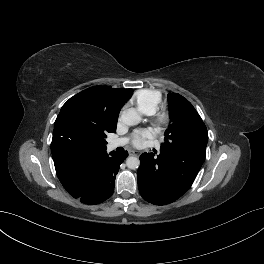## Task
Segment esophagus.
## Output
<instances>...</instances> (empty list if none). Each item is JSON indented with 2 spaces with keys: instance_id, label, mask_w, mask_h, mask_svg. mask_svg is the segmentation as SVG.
I'll use <instances>...</instances> for the list:
<instances>
[{
  "instance_id": "esophagus-1",
  "label": "esophagus",
  "mask_w": 264,
  "mask_h": 264,
  "mask_svg": "<svg viewBox=\"0 0 264 264\" xmlns=\"http://www.w3.org/2000/svg\"><path fill=\"white\" fill-rule=\"evenodd\" d=\"M139 154L140 153L138 151H134V150L129 151V155L139 156Z\"/></svg>"
}]
</instances>
